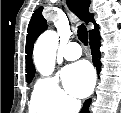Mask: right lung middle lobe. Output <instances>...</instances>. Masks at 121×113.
Listing matches in <instances>:
<instances>
[{
    "label": "right lung middle lobe",
    "mask_w": 121,
    "mask_h": 113,
    "mask_svg": "<svg viewBox=\"0 0 121 113\" xmlns=\"http://www.w3.org/2000/svg\"><path fill=\"white\" fill-rule=\"evenodd\" d=\"M33 79V77H28L27 82H30Z\"/></svg>",
    "instance_id": "right-lung-middle-lobe-1"
}]
</instances>
